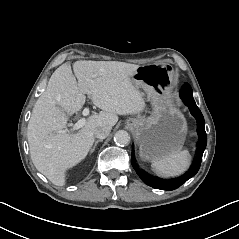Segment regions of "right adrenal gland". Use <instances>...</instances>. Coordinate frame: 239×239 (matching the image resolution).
Returning <instances> with one entry per match:
<instances>
[{
	"label": "right adrenal gland",
	"instance_id": "2a0ac1e0",
	"mask_svg": "<svg viewBox=\"0 0 239 239\" xmlns=\"http://www.w3.org/2000/svg\"><path fill=\"white\" fill-rule=\"evenodd\" d=\"M99 142H103V139H99V140L95 141L94 146L90 149V153L94 152V150Z\"/></svg>",
	"mask_w": 239,
	"mask_h": 239
}]
</instances>
